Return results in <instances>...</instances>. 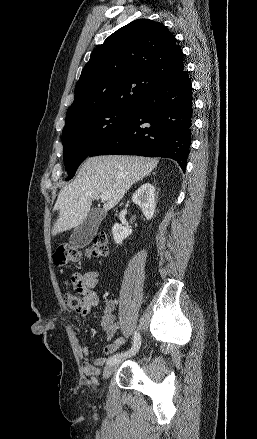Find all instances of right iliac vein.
Listing matches in <instances>:
<instances>
[{
	"mask_svg": "<svg viewBox=\"0 0 257 439\" xmlns=\"http://www.w3.org/2000/svg\"><path fill=\"white\" fill-rule=\"evenodd\" d=\"M121 361L122 360H120V361H118L116 363L109 364L108 366H106L104 368V371H103V378L104 379L109 378L111 376V374L115 371V369L119 366Z\"/></svg>",
	"mask_w": 257,
	"mask_h": 439,
	"instance_id": "obj_1",
	"label": "right iliac vein"
}]
</instances>
